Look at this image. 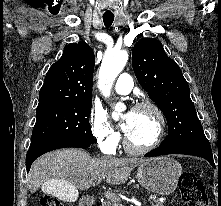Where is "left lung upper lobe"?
Wrapping results in <instances>:
<instances>
[{"mask_svg": "<svg viewBox=\"0 0 221 206\" xmlns=\"http://www.w3.org/2000/svg\"><path fill=\"white\" fill-rule=\"evenodd\" d=\"M132 65L140 85L167 119L169 133L160 146H210L190 98L188 83L160 41L139 40L132 50Z\"/></svg>", "mask_w": 221, "mask_h": 206, "instance_id": "obj_1", "label": "left lung upper lobe"}]
</instances>
